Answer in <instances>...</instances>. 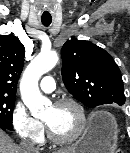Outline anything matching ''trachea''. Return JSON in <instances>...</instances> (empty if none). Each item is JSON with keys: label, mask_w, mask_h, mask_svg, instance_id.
<instances>
[{"label": "trachea", "mask_w": 130, "mask_h": 153, "mask_svg": "<svg viewBox=\"0 0 130 153\" xmlns=\"http://www.w3.org/2000/svg\"><path fill=\"white\" fill-rule=\"evenodd\" d=\"M41 21L44 26H49L52 22V18L51 17H42Z\"/></svg>", "instance_id": "obj_1"}]
</instances>
